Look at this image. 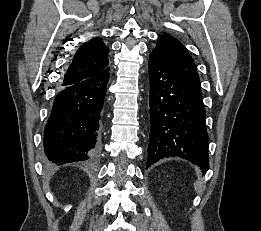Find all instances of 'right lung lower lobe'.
<instances>
[{"mask_svg": "<svg viewBox=\"0 0 261 231\" xmlns=\"http://www.w3.org/2000/svg\"><path fill=\"white\" fill-rule=\"evenodd\" d=\"M108 79L106 67L58 92L44 130V152L49 166L96 156Z\"/></svg>", "mask_w": 261, "mask_h": 231, "instance_id": "right-lung-lower-lobe-1", "label": "right lung lower lobe"}]
</instances>
